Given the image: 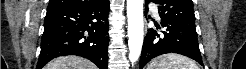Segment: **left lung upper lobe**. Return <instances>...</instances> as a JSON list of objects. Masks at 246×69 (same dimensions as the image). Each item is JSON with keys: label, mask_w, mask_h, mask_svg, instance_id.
<instances>
[{"label": "left lung upper lobe", "mask_w": 246, "mask_h": 69, "mask_svg": "<svg viewBox=\"0 0 246 69\" xmlns=\"http://www.w3.org/2000/svg\"><path fill=\"white\" fill-rule=\"evenodd\" d=\"M159 4V15L175 23L195 27V15L192 0H149Z\"/></svg>", "instance_id": "1"}]
</instances>
